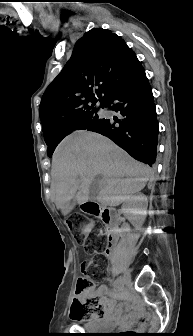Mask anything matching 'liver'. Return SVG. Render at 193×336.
Here are the masks:
<instances>
[{
  "label": "liver",
  "instance_id": "6515ba94",
  "mask_svg": "<svg viewBox=\"0 0 193 336\" xmlns=\"http://www.w3.org/2000/svg\"><path fill=\"white\" fill-rule=\"evenodd\" d=\"M55 204L64 215L71 201L81 205L89 200L90 186L102 175L96 200L117 206L141 191L152 177V170L133 159L110 139L97 133L80 131L67 137L52 158Z\"/></svg>",
  "mask_w": 193,
  "mask_h": 336
}]
</instances>
